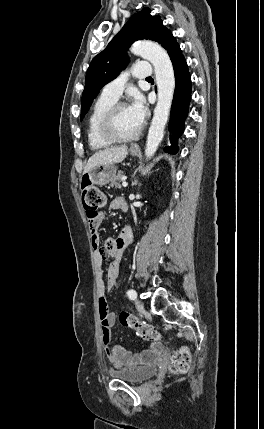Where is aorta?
<instances>
[{"mask_svg": "<svg viewBox=\"0 0 264 429\" xmlns=\"http://www.w3.org/2000/svg\"><path fill=\"white\" fill-rule=\"evenodd\" d=\"M131 52L147 59L154 66L158 100L145 148L146 158L150 159L164 137L175 88L174 70L167 52L155 42L139 41L131 47Z\"/></svg>", "mask_w": 264, "mask_h": 429, "instance_id": "1", "label": "aorta"}]
</instances>
